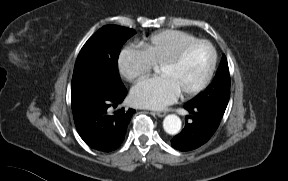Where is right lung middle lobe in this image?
Returning a JSON list of instances; mask_svg holds the SVG:
<instances>
[{"mask_svg":"<svg viewBox=\"0 0 288 181\" xmlns=\"http://www.w3.org/2000/svg\"><path fill=\"white\" fill-rule=\"evenodd\" d=\"M135 30L106 25L92 35L82 47L74 67L71 84L73 115L83 112L100 92L117 93L125 87L118 72L122 45Z\"/></svg>","mask_w":288,"mask_h":181,"instance_id":"dd1d6c3e","label":"right lung middle lobe"}]
</instances>
